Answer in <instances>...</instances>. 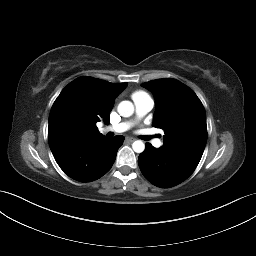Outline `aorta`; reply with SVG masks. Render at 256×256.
Listing matches in <instances>:
<instances>
[{"instance_id": "aorta-1", "label": "aorta", "mask_w": 256, "mask_h": 256, "mask_svg": "<svg viewBox=\"0 0 256 256\" xmlns=\"http://www.w3.org/2000/svg\"><path fill=\"white\" fill-rule=\"evenodd\" d=\"M117 111L122 117H130L134 113V105L130 101H122L118 105ZM132 148L136 153H142L145 144L141 140H137L133 142Z\"/></svg>"}]
</instances>
